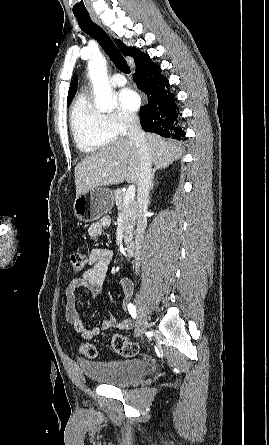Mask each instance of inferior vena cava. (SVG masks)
<instances>
[{"label": "inferior vena cava", "mask_w": 269, "mask_h": 445, "mask_svg": "<svg viewBox=\"0 0 269 445\" xmlns=\"http://www.w3.org/2000/svg\"><path fill=\"white\" fill-rule=\"evenodd\" d=\"M127 129L128 138L136 144L140 156V175L137 189L138 218L137 229L135 232V264L137 272L147 223L146 212L149 202V192L151 189L152 161L146 134L140 126L139 119L135 116L128 117Z\"/></svg>", "instance_id": "1"}]
</instances>
